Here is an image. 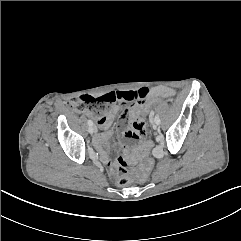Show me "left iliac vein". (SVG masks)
<instances>
[{
  "instance_id": "left-iliac-vein-1",
  "label": "left iliac vein",
  "mask_w": 241,
  "mask_h": 241,
  "mask_svg": "<svg viewBox=\"0 0 241 241\" xmlns=\"http://www.w3.org/2000/svg\"><path fill=\"white\" fill-rule=\"evenodd\" d=\"M151 124H152L153 129H157V125H158V124H157L155 121H152Z\"/></svg>"
}]
</instances>
